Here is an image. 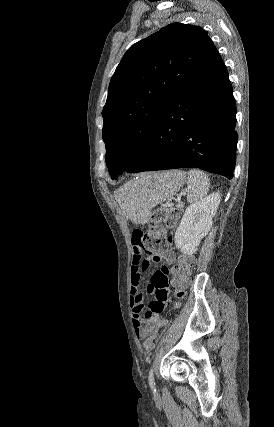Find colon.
Returning <instances> with one entry per match:
<instances>
[{
	"label": "colon",
	"instance_id": "1",
	"mask_svg": "<svg viewBox=\"0 0 274 427\" xmlns=\"http://www.w3.org/2000/svg\"><path fill=\"white\" fill-rule=\"evenodd\" d=\"M177 220V212L173 207L161 206L153 210L151 215V222L147 228L142 231L145 238L144 245H141L143 250H152L153 247L168 248L166 239V232L171 229ZM165 226V227H164ZM194 264V259L191 256H185L181 261L175 264L173 270V285L176 300L171 303L173 310L181 308L180 299L185 294V288L188 284L191 266ZM161 317H156L155 322H160ZM163 325L162 323L160 324ZM160 330L154 329L147 341L144 342L145 350H154L155 346L160 345ZM140 364L148 363L147 355L139 356Z\"/></svg>",
	"mask_w": 274,
	"mask_h": 427
}]
</instances>
